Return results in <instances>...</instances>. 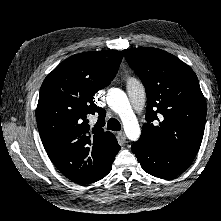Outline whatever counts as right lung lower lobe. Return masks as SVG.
Segmentation results:
<instances>
[{"label":"right lung lower lobe","mask_w":221,"mask_h":221,"mask_svg":"<svg viewBox=\"0 0 221 221\" xmlns=\"http://www.w3.org/2000/svg\"><path fill=\"white\" fill-rule=\"evenodd\" d=\"M111 166H112V164H111V165L108 167V169H107L104 173H102L98 178L93 179V180H91V181H87V182H85L84 184L93 183V182H96V181H98V180L104 178V177L110 172Z\"/></svg>","instance_id":"right-lung-lower-lobe-1"}]
</instances>
